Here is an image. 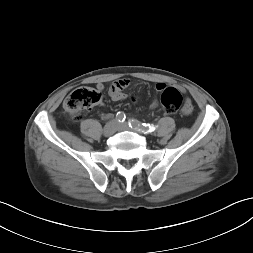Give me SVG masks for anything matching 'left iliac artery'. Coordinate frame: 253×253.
<instances>
[{"label": "left iliac artery", "mask_w": 253, "mask_h": 253, "mask_svg": "<svg viewBox=\"0 0 253 253\" xmlns=\"http://www.w3.org/2000/svg\"><path fill=\"white\" fill-rule=\"evenodd\" d=\"M128 125L131 128L140 129L144 134H148L156 130V126L154 124L141 123L140 121L133 118L129 119Z\"/></svg>", "instance_id": "obj_1"}]
</instances>
